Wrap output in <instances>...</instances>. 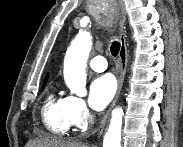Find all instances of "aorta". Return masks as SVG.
<instances>
[{
	"label": "aorta",
	"instance_id": "obj_1",
	"mask_svg": "<svg viewBox=\"0 0 183 147\" xmlns=\"http://www.w3.org/2000/svg\"><path fill=\"white\" fill-rule=\"evenodd\" d=\"M92 46V36L89 32H79L72 41L64 59V80L70 92L77 96L87 95L86 63ZM123 109L112 111L110 125L103 140V147H121V128Z\"/></svg>",
	"mask_w": 183,
	"mask_h": 147
}]
</instances>
